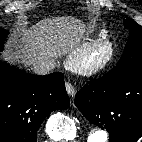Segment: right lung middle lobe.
<instances>
[{
    "instance_id": "1",
    "label": "right lung middle lobe",
    "mask_w": 142,
    "mask_h": 142,
    "mask_svg": "<svg viewBox=\"0 0 142 142\" xmlns=\"http://www.w3.org/2000/svg\"><path fill=\"white\" fill-rule=\"evenodd\" d=\"M8 31L0 28V51L3 49L4 41L7 37Z\"/></svg>"
}]
</instances>
